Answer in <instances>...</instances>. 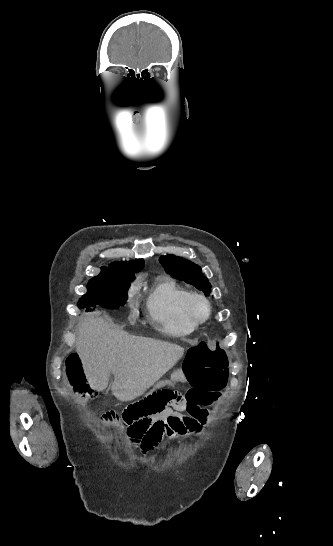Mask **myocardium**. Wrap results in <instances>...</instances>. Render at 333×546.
<instances>
[{
  "instance_id": "1",
  "label": "myocardium",
  "mask_w": 333,
  "mask_h": 546,
  "mask_svg": "<svg viewBox=\"0 0 333 546\" xmlns=\"http://www.w3.org/2000/svg\"><path fill=\"white\" fill-rule=\"evenodd\" d=\"M199 307H203V314L198 312ZM184 309L189 320L196 325L205 323L211 315V304L209 300L198 293L189 294L185 301Z\"/></svg>"
}]
</instances>
